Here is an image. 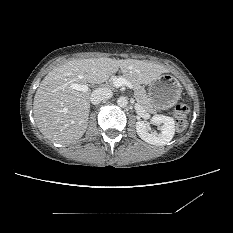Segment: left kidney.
Returning <instances> with one entry per match:
<instances>
[{
	"instance_id": "left-kidney-1",
	"label": "left kidney",
	"mask_w": 233,
	"mask_h": 233,
	"mask_svg": "<svg viewBox=\"0 0 233 233\" xmlns=\"http://www.w3.org/2000/svg\"><path fill=\"white\" fill-rule=\"evenodd\" d=\"M150 122L155 125L163 124L161 132L159 134L150 132L145 121H138L136 122V131L142 140L156 146L165 145L171 141L175 133V121L172 117L154 115Z\"/></svg>"
}]
</instances>
